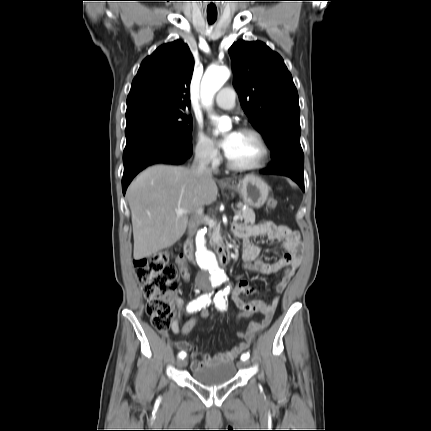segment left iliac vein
Returning a JSON list of instances; mask_svg holds the SVG:
<instances>
[{"instance_id": "obj_1", "label": "left iliac vein", "mask_w": 431, "mask_h": 431, "mask_svg": "<svg viewBox=\"0 0 431 431\" xmlns=\"http://www.w3.org/2000/svg\"><path fill=\"white\" fill-rule=\"evenodd\" d=\"M249 365H250V362L248 360H245V361H243V362L240 363V366H243V367H246V366H249Z\"/></svg>"}]
</instances>
